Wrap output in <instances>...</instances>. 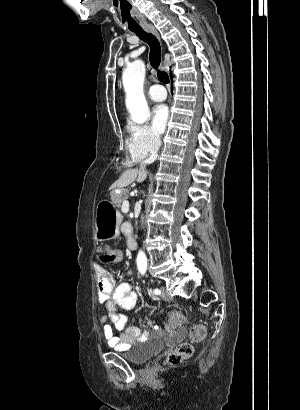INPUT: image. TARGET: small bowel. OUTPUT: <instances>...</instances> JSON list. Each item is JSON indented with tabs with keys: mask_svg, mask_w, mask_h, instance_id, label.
Listing matches in <instances>:
<instances>
[{
	"mask_svg": "<svg viewBox=\"0 0 300 410\" xmlns=\"http://www.w3.org/2000/svg\"><path fill=\"white\" fill-rule=\"evenodd\" d=\"M95 274L98 300L104 304L106 310L100 323L108 345L115 349H124L144 339L146 333L137 326H128L127 316L123 312L132 310L136 302V294L130 283L123 281L117 284L114 277L101 266L96 267Z\"/></svg>",
	"mask_w": 300,
	"mask_h": 410,
	"instance_id": "c3829d8e",
	"label": "small bowel"
}]
</instances>
